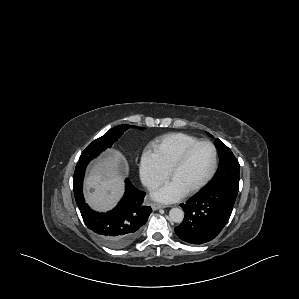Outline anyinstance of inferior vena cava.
I'll return each instance as SVG.
<instances>
[{
	"label": "inferior vena cava",
	"instance_id": "602c4592",
	"mask_svg": "<svg viewBox=\"0 0 299 299\" xmlns=\"http://www.w3.org/2000/svg\"><path fill=\"white\" fill-rule=\"evenodd\" d=\"M145 185H146L147 187H151V188H153V187L157 186V183L154 182V181H150V180H148V181L145 182Z\"/></svg>",
	"mask_w": 299,
	"mask_h": 299
}]
</instances>
